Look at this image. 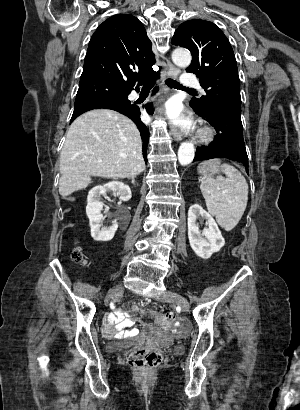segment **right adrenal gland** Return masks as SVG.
<instances>
[{
    "label": "right adrenal gland",
    "mask_w": 300,
    "mask_h": 410,
    "mask_svg": "<svg viewBox=\"0 0 300 410\" xmlns=\"http://www.w3.org/2000/svg\"><path fill=\"white\" fill-rule=\"evenodd\" d=\"M128 179H131L132 184L135 185V176H133V177H128Z\"/></svg>",
    "instance_id": "1"
}]
</instances>
